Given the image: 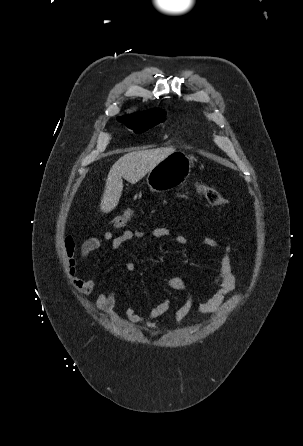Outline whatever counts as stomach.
I'll list each match as a JSON object with an SVG mask.
<instances>
[{"label":"stomach","mask_w":303,"mask_h":446,"mask_svg":"<svg viewBox=\"0 0 303 446\" xmlns=\"http://www.w3.org/2000/svg\"><path fill=\"white\" fill-rule=\"evenodd\" d=\"M192 167L191 158L183 152H174L151 169L147 185L153 192L169 191L188 178Z\"/></svg>","instance_id":"obj_1"}]
</instances>
